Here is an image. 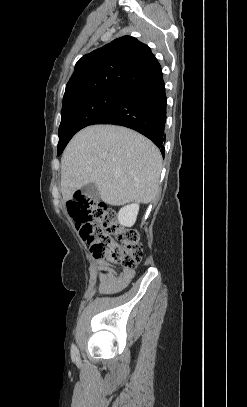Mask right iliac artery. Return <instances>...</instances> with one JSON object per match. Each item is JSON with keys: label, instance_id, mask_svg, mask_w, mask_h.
Instances as JSON below:
<instances>
[{"label": "right iliac artery", "instance_id": "1", "mask_svg": "<svg viewBox=\"0 0 247 407\" xmlns=\"http://www.w3.org/2000/svg\"><path fill=\"white\" fill-rule=\"evenodd\" d=\"M71 352H72L73 355L78 354V349L74 344L71 347Z\"/></svg>", "mask_w": 247, "mask_h": 407}]
</instances>
